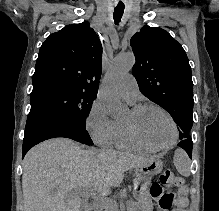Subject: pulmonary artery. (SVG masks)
Wrapping results in <instances>:
<instances>
[{
  "instance_id": "1",
  "label": "pulmonary artery",
  "mask_w": 219,
  "mask_h": 211,
  "mask_svg": "<svg viewBox=\"0 0 219 211\" xmlns=\"http://www.w3.org/2000/svg\"><path fill=\"white\" fill-rule=\"evenodd\" d=\"M119 92L128 102L133 103L139 94V87L136 79L130 73H127L119 84Z\"/></svg>"
}]
</instances>
